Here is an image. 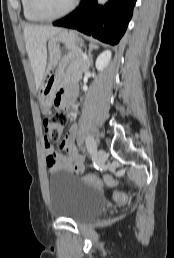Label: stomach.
I'll return each instance as SVG.
<instances>
[{"mask_svg": "<svg viewBox=\"0 0 174 258\" xmlns=\"http://www.w3.org/2000/svg\"><path fill=\"white\" fill-rule=\"evenodd\" d=\"M81 46V40L72 30H61L49 38V63L39 91V101L44 111L52 106L54 94L64 76V69L69 62L81 55Z\"/></svg>", "mask_w": 174, "mask_h": 258, "instance_id": "obj_1", "label": "stomach"}]
</instances>
